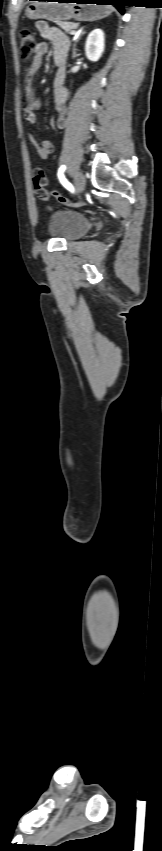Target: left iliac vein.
Masks as SVG:
<instances>
[{
    "label": "left iliac vein",
    "instance_id": "obj_1",
    "mask_svg": "<svg viewBox=\"0 0 162 851\" xmlns=\"http://www.w3.org/2000/svg\"><path fill=\"white\" fill-rule=\"evenodd\" d=\"M86 179L84 174L81 171L76 172L75 174V187L78 192H82L85 189Z\"/></svg>",
    "mask_w": 162,
    "mask_h": 851
}]
</instances>
